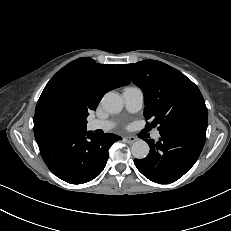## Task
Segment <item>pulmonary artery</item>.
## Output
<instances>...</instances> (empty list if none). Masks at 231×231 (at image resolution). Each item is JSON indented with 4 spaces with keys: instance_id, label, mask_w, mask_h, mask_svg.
<instances>
[{
    "instance_id": "1",
    "label": "pulmonary artery",
    "mask_w": 231,
    "mask_h": 231,
    "mask_svg": "<svg viewBox=\"0 0 231 231\" xmlns=\"http://www.w3.org/2000/svg\"><path fill=\"white\" fill-rule=\"evenodd\" d=\"M124 104L126 109L135 113L141 110L144 104L143 91L138 87H128L124 89L122 93ZM113 123L108 120L92 119L88 122L87 127L89 130H110L113 127ZM160 136L158 130L153 133V137L157 139Z\"/></svg>"
}]
</instances>
